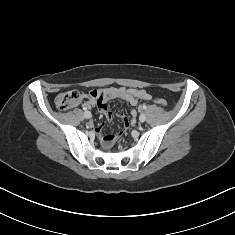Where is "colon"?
I'll list each match as a JSON object with an SVG mask.
<instances>
[{"instance_id": "obj_1", "label": "colon", "mask_w": 235, "mask_h": 235, "mask_svg": "<svg viewBox=\"0 0 235 235\" xmlns=\"http://www.w3.org/2000/svg\"><path fill=\"white\" fill-rule=\"evenodd\" d=\"M83 98H84V95L80 91L71 90V91L60 93L55 99V104L59 109L67 110L79 104V102ZM154 101L156 104L162 107H165L167 105L166 100L160 97L155 98ZM124 123L126 126H128L129 120L127 118H124ZM117 138H118V134L106 135L104 138V144L107 146H110Z\"/></svg>"}]
</instances>
